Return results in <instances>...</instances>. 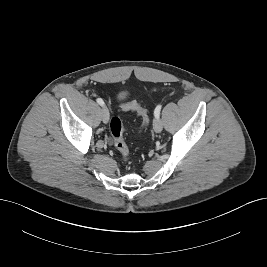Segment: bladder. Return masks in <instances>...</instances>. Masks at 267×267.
<instances>
[{
  "label": "bladder",
  "mask_w": 267,
  "mask_h": 267,
  "mask_svg": "<svg viewBox=\"0 0 267 267\" xmlns=\"http://www.w3.org/2000/svg\"><path fill=\"white\" fill-rule=\"evenodd\" d=\"M128 97V92L125 90H121L116 94V99L119 102L125 101Z\"/></svg>",
  "instance_id": "bladder-1"
}]
</instances>
